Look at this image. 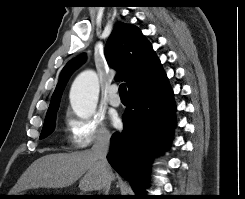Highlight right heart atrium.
Listing matches in <instances>:
<instances>
[{
  "label": "right heart atrium",
  "mask_w": 245,
  "mask_h": 199,
  "mask_svg": "<svg viewBox=\"0 0 245 199\" xmlns=\"http://www.w3.org/2000/svg\"><path fill=\"white\" fill-rule=\"evenodd\" d=\"M68 141L75 150H81L97 143H107L111 134L103 118L94 114L80 118L69 112L66 118Z\"/></svg>",
  "instance_id": "d8ad5b80"
}]
</instances>
